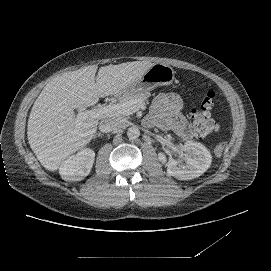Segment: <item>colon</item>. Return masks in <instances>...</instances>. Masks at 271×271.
I'll return each mask as SVG.
<instances>
[{"label":"colon","instance_id":"5ec220e1","mask_svg":"<svg viewBox=\"0 0 271 271\" xmlns=\"http://www.w3.org/2000/svg\"><path fill=\"white\" fill-rule=\"evenodd\" d=\"M215 94L212 91L206 92L199 104L191 112V119L194 132L198 137H205L211 133L218 131L219 125L211 116V109L214 104ZM226 144L219 143L215 147V154L220 156L225 151Z\"/></svg>","mask_w":271,"mask_h":271}]
</instances>
